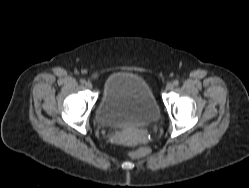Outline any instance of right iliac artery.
<instances>
[{"label":"right iliac artery","instance_id":"82829eb1","mask_svg":"<svg viewBox=\"0 0 249 188\" xmlns=\"http://www.w3.org/2000/svg\"><path fill=\"white\" fill-rule=\"evenodd\" d=\"M80 83H81V84H85L86 81H85L84 79H80Z\"/></svg>","mask_w":249,"mask_h":188}]
</instances>
